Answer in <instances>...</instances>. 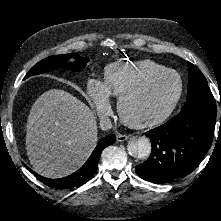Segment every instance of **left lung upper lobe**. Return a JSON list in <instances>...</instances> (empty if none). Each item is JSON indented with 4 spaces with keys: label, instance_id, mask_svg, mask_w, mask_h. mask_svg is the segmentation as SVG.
Here are the masks:
<instances>
[{
    "label": "left lung upper lobe",
    "instance_id": "left-lung-upper-lobe-1",
    "mask_svg": "<svg viewBox=\"0 0 221 221\" xmlns=\"http://www.w3.org/2000/svg\"><path fill=\"white\" fill-rule=\"evenodd\" d=\"M188 94L184 107L196 100L215 101L211 90L207 84V80L202 72L192 63L188 62Z\"/></svg>",
    "mask_w": 221,
    "mask_h": 221
}]
</instances>
